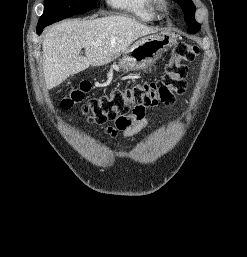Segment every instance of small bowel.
<instances>
[{
    "instance_id": "obj_1",
    "label": "small bowel",
    "mask_w": 247,
    "mask_h": 257,
    "mask_svg": "<svg viewBox=\"0 0 247 257\" xmlns=\"http://www.w3.org/2000/svg\"><path fill=\"white\" fill-rule=\"evenodd\" d=\"M128 120L129 122L125 126L114 124L113 127H108L106 129L107 133L112 137H117L119 134H121L123 137H131L145 128L149 122L145 109L135 110L128 117Z\"/></svg>"
}]
</instances>
